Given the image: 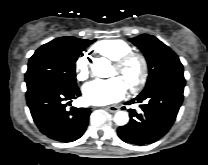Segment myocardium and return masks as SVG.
I'll list each match as a JSON object with an SVG mask.
<instances>
[{"label":"myocardium","mask_w":208,"mask_h":165,"mask_svg":"<svg viewBox=\"0 0 208 165\" xmlns=\"http://www.w3.org/2000/svg\"><path fill=\"white\" fill-rule=\"evenodd\" d=\"M131 60H137L140 63V76L139 79L133 84L127 87L128 91L131 93H136L140 91L146 84L149 74V67L146 57L138 52H128L116 60L113 61V66L121 70L123 69Z\"/></svg>","instance_id":"f54148a6"}]
</instances>
